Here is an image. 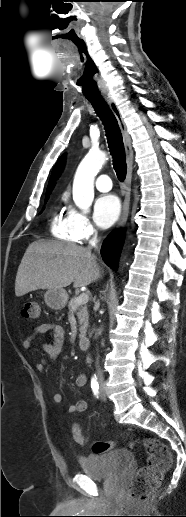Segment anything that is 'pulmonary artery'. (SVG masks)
Here are the masks:
<instances>
[{
  "mask_svg": "<svg viewBox=\"0 0 186 517\" xmlns=\"http://www.w3.org/2000/svg\"><path fill=\"white\" fill-rule=\"evenodd\" d=\"M96 188L101 192H108L112 188V182L108 175H99L95 180Z\"/></svg>",
  "mask_w": 186,
  "mask_h": 517,
  "instance_id": "1",
  "label": "pulmonary artery"
}]
</instances>
